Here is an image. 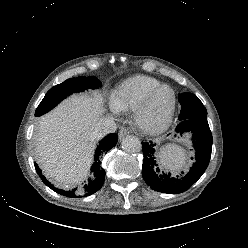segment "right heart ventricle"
Returning <instances> with one entry per match:
<instances>
[{
	"label": "right heart ventricle",
	"mask_w": 248,
	"mask_h": 248,
	"mask_svg": "<svg viewBox=\"0 0 248 248\" xmlns=\"http://www.w3.org/2000/svg\"><path fill=\"white\" fill-rule=\"evenodd\" d=\"M162 83L150 76L137 75L123 81L114 93L113 100L122 112L133 111L134 108Z\"/></svg>",
	"instance_id": "e07e8e85"
}]
</instances>
